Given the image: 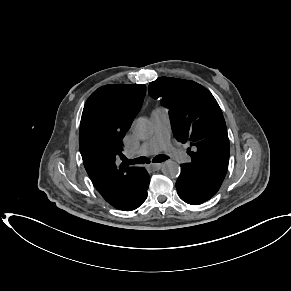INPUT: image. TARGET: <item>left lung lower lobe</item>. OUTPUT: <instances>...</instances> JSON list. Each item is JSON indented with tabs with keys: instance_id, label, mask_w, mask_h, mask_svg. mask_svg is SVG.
Returning <instances> with one entry per match:
<instances>
[{
	"instance_id": "0a47b994",
	"label": "left lung lower lobe",
	"mask_w": 291,
	"mask_h": 291,
	"mask_svg": "<svg viewBox=\"0 0 291 291\" xmlns=\"http://www.w3.org/2000/svg\"><path fill=\"white\" fill-rule=\"evenodd\" d=\"M222 183L202 175L199 171L181 165V173L176 181L179 197L191 205H199L212 198Z\"/></svg>"
}]
</instances>
